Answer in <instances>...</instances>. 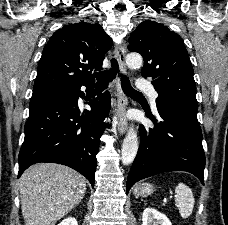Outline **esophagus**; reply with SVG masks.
<instances>
[{"mask_svg": "<svg viewBox=\"0 0 228 225\" xmlns=\"http://www.w3.org/2000/svg\"><path fill=\"white\" fill-rule=\"evenodd\" d=\"M127 51V45L125 42L117 44L115 46V55L119 64V70L122 74H126L125 56ZM117 87V109H118V122L117 131L120 136L124 135L127 130L128 122L126 118V109L128 105V99L123 93L121 87V79L118 77L116 80Z\"/></svg>", "mask_w": 228, "mask_h": 225, "instance_id": "1", "label": "esophagus"}]
</instances>
